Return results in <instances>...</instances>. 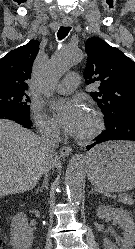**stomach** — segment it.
<instances>
[{
  "mask_svg": "<svg viewBox=\"0 0 135 249\" xmlns=\"http://www.w3.org/2000/svg\"><path fill=\"white\" fill-rule=\"evenodd\" d=\"M90 182L110 192L135 188V142L110 141L94 148L88 155Z\"/></svg>",
  "mask_w": 135,
  "mask_h": 249,
  "instance_id": "obj_1",
  "label": "stomach"
}]
</instances>
